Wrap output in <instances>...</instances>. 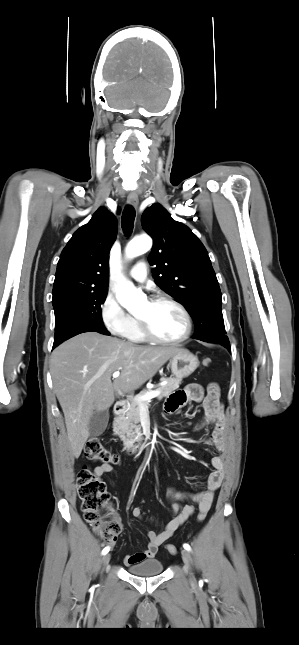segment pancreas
<instances>
[{"instance_id": "obj_1", "label": "pancreas", "mask_w": 299, "mask_h": 645, "mask_svg": "<svg viewBox=\"0 0 299 645\" xmlns=\"http://www.w3.org/2000/svg\"><path fill=\"white\" fill-rule=\"evenodd\" d=\"M162 381L167 383L164 386L158 387L156 390L160 391L159 399L169 396L181 384L179 378H162ZM152 389H144L136 397L143 396ZM135 397V398H136ZM132 396L128 397V406L123 415L118 416L114 423V433L120 437L125 445H131L135 442L143 440L140 423V404L148 408L149 402H139Z\"/></svg>"}]
</instances>
